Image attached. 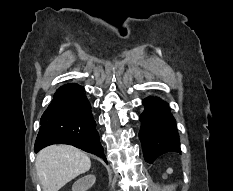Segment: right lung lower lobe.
<instances>
[{
    "instance_id": "obj_1",
    "label": "right lung lower lobe",
    "mask_w": 233,
    "mask_h": 191,
    "mask_svg": "<svg viewBox=\"0 0 233 191\" xmlns=\"http://www.w3.org/2000/svg\"><path fill=\"white\" fill-rule=\"evenodd\" d=\"M34 151L52 144H69L101 157L106 163L96 122L84 88L65 84L57 89L51 104L43 113Z\"/></svg>"
}]
</instances>
